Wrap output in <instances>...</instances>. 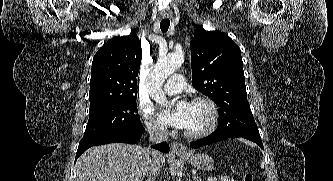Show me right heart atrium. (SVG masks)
<instances>
[{"label": "right heart atrium", "instance_id": "obj_1", "mask_svg": "<svg viewBox=\"0 0 333 181\" xmlns=\"http://www.w3.org/2000/svg\"><path fill=\"white\" fill-rule=\"evenodd\" d=\"M140 114L143 118L144 124L149 131V133L153 136L162 137L167 134L166 127L156 120L153 116V111L151 108L147 106L140 107Z\"/></svg>", "mask_w": 333, "mask_h": 181}]
</instances>
